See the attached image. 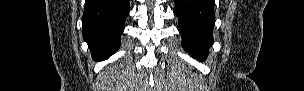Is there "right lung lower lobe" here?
Listing matches in <instances>:
<instances>
[{
  "mask_svg": "<svg viewBox=\"0 0 304 91\" xmlns=\"http://www.w3.org/2000/svg\"><path fill=\"white\" fill-rule=\"evenodd\" d=\"M128 13L129 0H85L83 38L96 61L118 50Z\"/></svg>",
  "mask_w": 304,
  "mask_h": 91,
  "instance_id": "right-lung-lower-lobe-1",
  "label": "right lung lower lobe"
}]
</instances>
